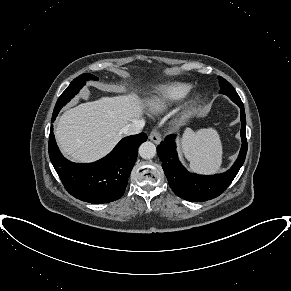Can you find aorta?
Returning a JSON list of instances; mask_svg holds the SVG:
<instances>
[{"instance_id":"obj_1","label":"aorta","mask_w":291,"mask_h":291,"mask_svg":"<svg viewBox=\"0 0 291 291\" xmlns=\"http://www.w3.org/2000/svg\"><path fill=\"white\" fill-rule=\"evenodd\" d=\"M139 155L143 159L153 158L156 155V146L150 141L142 143L139 147Z\"/></svg>"}]
</instances>
